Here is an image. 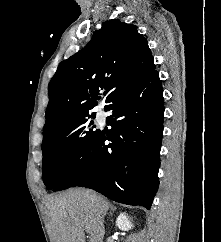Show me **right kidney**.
Wrapping results in <instances>:
<instances>
[{"mask_svg":"<svg viewBox=\"0 0 221 242\" xmlns=\"http://www.w3.org/2000/svg\"><path fill=\"white\" fill-rule=\"evenodd\" d=\"M116 226L122 231H128L133 228V224L128 219L126 213H120L116 220Z\"/></svg>","mask_w":221,"mask_h":242,"instance_id":"obj_1","label":"right kidney"}]
</instances>
